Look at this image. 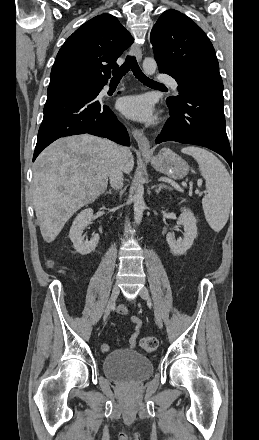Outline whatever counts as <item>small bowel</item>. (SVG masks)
<instances>
[{
  "label": "small bowel",
  "instance_id": "1",
  "mask_svg": "<svg viewBox=\"0 0 259 440\" xmlns=\"http://www.w3.org/2000/svg\"><path fill=\"white\" fill-rule=\"evenodd\" d=\"M117 313L120 316L125 315L126 314V308L124 306H120L118 308V310H117ZM130 322L134 326V333L131 335L129 343H130V347H134L135 344H136V338H137V336L139 334V331L141 329L142 322H141L140 318L137 317V316L131 317ZM102 349L104 351H108L109 350V346L107 344H103L102 345Z\"/></svg>",
  "mask_w": 259,
  "mask_h": 440
}]
</instances>
